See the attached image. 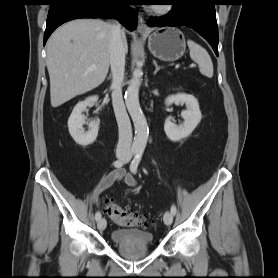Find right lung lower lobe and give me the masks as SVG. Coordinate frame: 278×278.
Returning <instances> with one entry per match:
<instances>
[{"mask_svg": "<svg viewBox=\"0 0 278 278\" xmlns=\"http://www.w3.org/2000/svg\"><path fill=\"white\" fill-rule=\"evenodd\" d=\"M128 5L129 0H53L48 12L44 45L58 26L78 18L113 17L129 30H134L137 13Z\"/></svg>", "mask_w": 278, "mask_h": 278, "instance_id": "1", "label": "right lung lower lobe"}]
</instances>
